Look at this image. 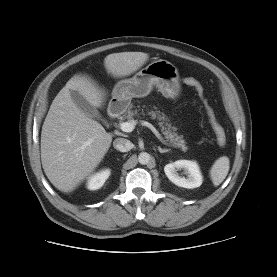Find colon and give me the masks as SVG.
Here are the masks:
<instances>
[{"instance_id":"obj_1","label":"colon","mask_w":277,"mask_h":277,"mask_svg":"<svg viewBox=\"0 0 277 277\" xmlns=\"http://www.w3.org/2000/svg\"><path fill=\"white\" fill-rule=\"evenodd\" d=\"M184 83L187 84L188 86L193 87L198 93V95L200 96V98L202 99L203 105L206 111V115L208 117V121L214 133L215 139L220 147H224L227 143L226 131L218 121L213 108L209 105L207 100L204 98L203 87L201 86L199 81L193 77L184 78Z\"/></svg>"}]
</instances>
